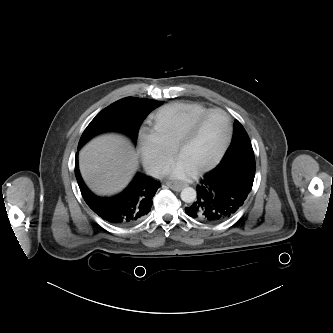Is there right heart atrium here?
Listing matches in <instances>:
<instances>
[{"instance_id":"1","label":"right heart atrium","mask_w":333,"mask_h":333,"mask_svg":"<svg viewBox=\"0 0 333 333\" xmlns=\"http://www.w3.org/2000/svg\"><path fill=\"white\" fill-rule=\"evenodd\" d=\"M142 162L150 174L160 176L172 159L169 147L153 130H142L139 135Z\"/></svg>"}]
</instances>
